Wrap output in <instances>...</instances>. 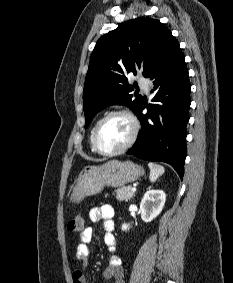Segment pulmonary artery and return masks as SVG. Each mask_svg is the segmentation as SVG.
I'll return each mask as SVG.
<instances>
[{
    "instance_id": "e3ab8cb5",
    "label": "pulmonary artery",
    "mask_w": 233,
    "mask_h": 283,
    "mask_svg": "<svg viewBox=\"0 0 233 283\" xmlns=\"http://www.w3.org/2000/svg\"><path fill=\"white\" fill-rule=\"evenodd\" d=\"M138 84L145 92H148V90H149V81L147 79L140 78L138 80Z\"/></svg>"
}]
</instances>
